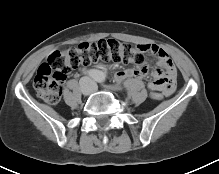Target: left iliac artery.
<instances>
[{"label": "left iliac artery", "mask_w": 219, "mask_h": 174, "mask_svg": "<svg viewBox=\"0 0 219 174\" xmlns=\"http://www.w3.org/2000/svg\"><path fill=\"white\" fill-rule=\"evenodd\" d=\"M104 79H105V77H104L103 73H98V75H97V77H96V81L102 83V82H104ZM115 87H116L117 89H119V90L122 89L121 86H115Z\"/></svg>", "instance_id": "44dca946"}]
</instances>
